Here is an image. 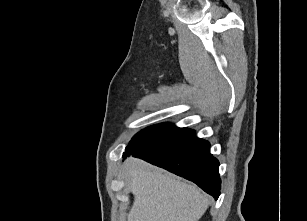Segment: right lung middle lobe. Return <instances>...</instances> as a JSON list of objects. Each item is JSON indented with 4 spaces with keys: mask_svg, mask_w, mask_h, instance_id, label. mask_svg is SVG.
Masks as SVG:
<instances>
[{
    "mask_svg": "<svg viewBox=\"0 0 307 221\" xmlns=\"http://www.w3.org/2000/svg\"><path fill=\"white\" fill-rule=\"evenodd\" d=\"M188 131L187 128H179L169 123L150 126L132 138L125 152L148 149L173 140Z\"/></svg>",
    "mask_w": 307,
    "mask_h": 221,
    "instance_id": "dd1d6c3e",
    "label": "right lung middle lobe"
}]
</instances>
